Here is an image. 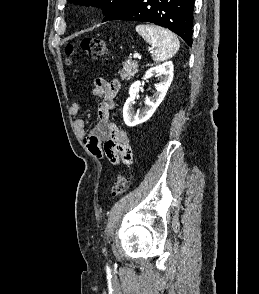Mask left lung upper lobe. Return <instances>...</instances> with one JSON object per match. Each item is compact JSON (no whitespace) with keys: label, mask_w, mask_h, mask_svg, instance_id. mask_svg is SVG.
I'll return each instance as SVG.
<instances>
[{"label":"left lung upper lobe","mask_w":259,"mask_h":294,"mask_svg":"<svg viewBox=\"0 0 259 294\" xmlns=\"http://www.w3.org/2000/svg\"><path fill=\"white\" fill-rule=\"evenodd\" d=\"M70 3L102 8L105 15L104 20L108 19L114 13L128 5L134 0H68Z\"/></svg>","instance_id":"left-lung-upper-lobe-1"}]
</instances>
